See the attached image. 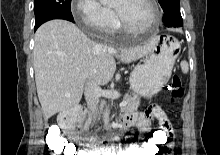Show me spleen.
I'll use <instances>...</instances> for the list:
<instances>
[{
	"label": "spleen",
	"mask_w": 220,
	"mask_h": 155,
	"mask_svg": "<svg viewBox=\"0 0 220 155\" xmlns=\"http://www.w3.org/2000/svg\"><path fill=\"white\" fill-rule=\"evenodd\" d=\"M180 65H181V70H182V72H183L184 74H187L188 71H189L188 62L185 61V60H183Z\"/></svg>",
	"instance_id": "1"
}]
</instances>
